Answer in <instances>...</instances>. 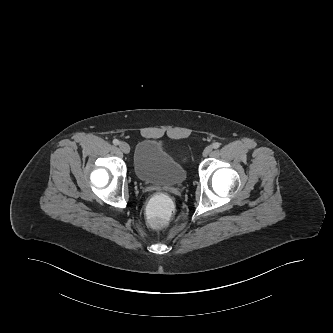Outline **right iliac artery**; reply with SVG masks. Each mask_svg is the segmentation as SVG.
I'll use <instances>...</instances> for the list:
<instances>
[{"instance_id": "right-iliac-artery-1", "label": "right iliac artery", "mask_w": 333, "mask_h": 333, "mask_svg": "<svg viewBox=\"0 0 333 333\" xmlns=\"http://www.w3.org/2000/svg\"><path fill=\"white\" fill-rule=\"evenodd\" d=\"M119 143H120L119 140H117V139H114V140H113V144H114V145H118Z\"/></svg>"}]
</instances>
